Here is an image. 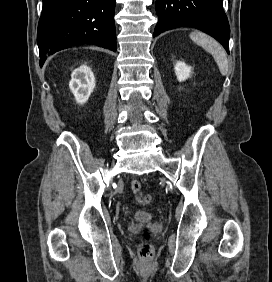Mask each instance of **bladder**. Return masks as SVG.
<instances>
[{
	"mask_svg": "<svg viewBox=\"0 0 272 282\" xmlns=\"http://www.w3.org/2000/svg\"><path fill=\"white\" fill-rule=\"evenodd\" d=\"M134 218L138 221L149 222L152 220L153 216L149 212L140 211L134 214Z\"/></svg>",
	"mask_w": 272,
	"mask_h": 282,
	"instance_id": "31cf9c89",
	"label": "bladder"
}]
</instances>
